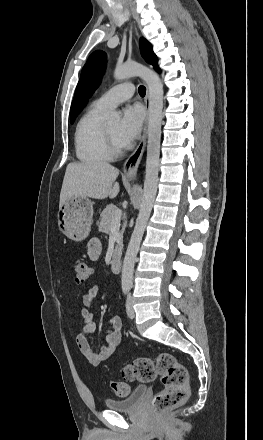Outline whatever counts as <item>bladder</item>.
Listing matches in <instances>:
<instances>
[{
	"label": "bladder",
	"mask_w": 263,
	"mask_h": 440,
	"mask_svg": "<svg viewBox=\"0 0 263 440\" xmlns=\"http://www.w3.org/2000/svg\"><path fill=\"white\" fill-rule=\"evenodd\" d=\"M148 387L145 385L137 386L125 398L107 399L104 405L107 409L117 412L134 411L137 409L142 399L146 395Z\"/></svg>",
	"instance_id": "bladder-1"
}]
</instances>
